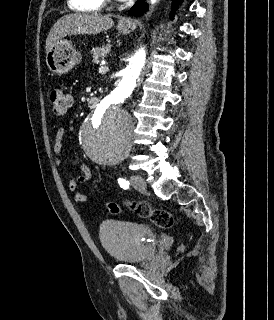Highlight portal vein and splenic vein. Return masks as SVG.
<instances>
[{"label": "portal vein and splenic vein", "instance_id": "obj_1", "mask_svg": "<svg viewBox=\"0 0 274 320\" xmlns=\"http://www.w3.org/2000/svg\"><path fill=\"white\" fill-rule=\"evenodd\" d=\"M106 62H101L100 66L101 68H99V70H105L106 66H105Z\"/></svg>", "mask_w": 274, "mask_h": 320}]
</instances>
